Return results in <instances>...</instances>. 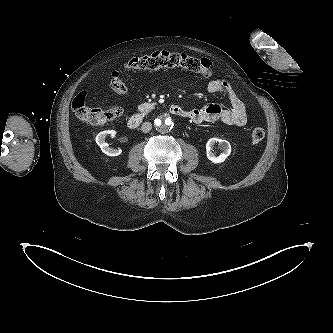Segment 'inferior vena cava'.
Wrapping results in <instances>:
<instances>
[{"label": "inferior vena cava", "mask_w": 333, "mask_h": 333, "mask_svg": "<svg viewBox=\"0 0 333 333\" xmlns=\"http://www.w3.org/2000/svg\"><path fill=\"white\" fill-rule=\"evenodd\" d=\"M152 129V124L150 122H144L141 126V130L144 133H148Z\"/></svg>", "instance_id": "inferior-vena-cava-1"}]
</instances>
